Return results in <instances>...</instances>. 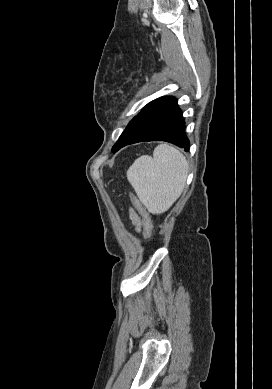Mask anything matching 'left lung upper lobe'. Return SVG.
<instances>
[{
  "mask_svg": "<svg viewBox=\"0 0 272 389\" xmlns=\"http://www.w3.org/2000/svg\"><path fill=\"white\" fill-rule=\"evenodd\" d=\"M137 116H138V115H137ZM137 116H135V117L130 121V123L128 124V126L126 127V129H125V130L123 131V133L121 134L119 140H120L121 137L124 135V133L128 130V128L131 126V124L134 122V120L136 119ZM119 140H118V141H119ZM118 141L115 143V145H114L113 148H112V151H113V152H115V150H116Z\"/></svg>",
  "mask_w": 272,
  "mask_h": 389,
  "instance_id": "1",
  "label": "left lung upper lobe"
}]
</instances>
